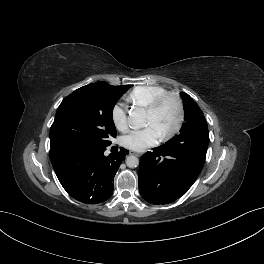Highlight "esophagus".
<instances>
[{"label": "esophagus", "mask_w": 264, "mask_h": 264, "mask_svg": "<svg viewBox=\"0 0 264 264\" xmlns=\"http://www.w3.org/2000/svg\"><path fill=\"white\" fill-rule=\"evenodd\" d=\"M130 154L136 155V156H140V153H136V152H130Z\"/></svg>", "instance_id": "obj_1"}]
</instances>
